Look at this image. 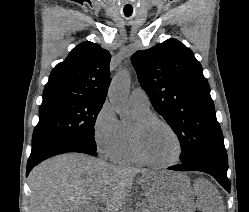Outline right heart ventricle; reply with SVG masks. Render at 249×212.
Listing matches in <instances>:
<instances>
[{"label":"right heart ventricle","instance_id":"1","mask_svg":"<svg viewBox=\"0 0 249 212\" xmlns=\"http://www.w3.org/2000/svg\"><path fill=\"white\" fill-rule=\"evenodd\" d=\"M132 108L138 118L152 115L150 110H142L135 107ZM119 129L121 132V142L113 159L125 164H138L139 161L136 159L130 143L129 127L125 124H119Z\"/></svg>","mask_w":249,"mask_h":212}]
</instances>
